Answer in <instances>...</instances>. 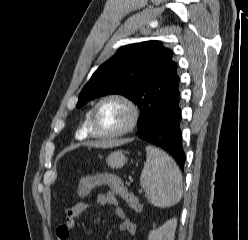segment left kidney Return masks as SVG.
<instances>
[{"mask_svg": "<svg viewBox=\"0 0 248 240\" xmlns=\"http://www.w3.org/2000/svg\"><path fill=\"white\" fill-rule=\"evenodd\" d=\"M177 227V219L173 218L156 230L149 233L148 240H174Z\"/></svg>", "mask_w": 248, "mask_h": 240, "instance_id": "1", "label": "left kidney"}]
</instances>
